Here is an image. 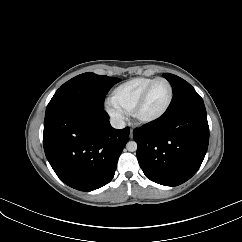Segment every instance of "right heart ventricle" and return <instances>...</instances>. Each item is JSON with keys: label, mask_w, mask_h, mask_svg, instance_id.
<instances>
[{"label": "right heart ventricle", "mask_w": 242, "mask_h": 242, "mask_svg": "<svg viewBox=\"0 0 242 242\" xmlns=\"http://www.w3.org/2000/svg\"><path fill=\"white\" fill-rule=\"evenodd\" d=\"M153 80L149 77H136L117 86L111 94L113 105L125 114L131 110L144 88Z\"/></svg>", "instance_id": "right-heart-ventricle-1"}]
</instances>
